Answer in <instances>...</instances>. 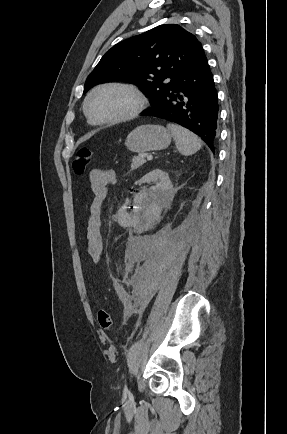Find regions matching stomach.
I'll use <instances>...</instances> for the list:
<instances>
[{
	"instance_id": "1",
	"label": "stomach",
	"mask_w": 287,
	"mask_h": 434,
	"mask_svg": "<svg viewBox=\"0 0 287 434\" xmlns=\"http://www.w3.org/2000/svg\"><path fill=\"white\" fill-rule=\"evenodd\" d=\"M170 143V133L158 125H141L130 132L125 141L126 147L135 153L162 150Z\"/></svg>"
}]
</instances>
